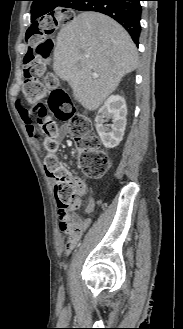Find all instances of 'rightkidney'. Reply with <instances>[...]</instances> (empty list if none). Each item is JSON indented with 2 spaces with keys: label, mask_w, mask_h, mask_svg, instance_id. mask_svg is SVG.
<instances>
[{
  "label": "right kidney",
  "mask_w": 183,
  "mask_h": 329,
  "mask_svg": "<svg viewBox=\"0 0 183 329\" xmlns=\"http://www.w3.org/2000/svg\"><path fill=\"white\" fill-rule=\"evenodd\" d=\"M127 107L125 99L111 95L98 110L95 126L101 142L106 148L116 147L123 139L126 128ZM112 119L113 124H105Z\"/></svg>",
  "instance_id": "1"
}]
</instances>
